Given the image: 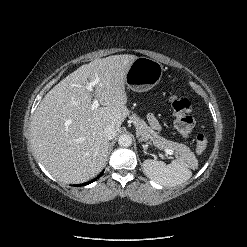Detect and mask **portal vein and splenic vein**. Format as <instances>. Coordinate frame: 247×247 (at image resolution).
Listing matches in <instances>:
<instances>
[{
	"label": "portal vein and splenic vein",
	"instance_id": "portal-vein-and-splenic-vein-1",
	"mask_svg": "<svg viewBox=\"0 0 247 247\" xmlns=\"http://www.w3.org/2000/svg\"><path fill=\"white\" fill-rule=\"evenodd\" d=\"M99 82V78H96L94 81L88 82L86 85V89L89 90L90 92L94 91V86ZM99 107V101L95 98L92 102L91 108L96 109ZM164 152L168 155H173V150L171 149H164Z\"/></svg>",
	"mask_w": 247,
	"mask_h": 247
}]
</instances>
